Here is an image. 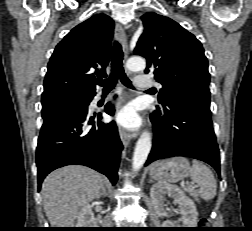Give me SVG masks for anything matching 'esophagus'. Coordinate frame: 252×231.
I'll return each instance as SVG.
<instances>
[{
    "mask_svg": "<svg viewBox=\"0 0 252 231\" xmlns=\"http://www.w3.org/2000/svg\"><path fill=\"white\" fill-rule=\"evenodd\" d=\"M116 30L119 33V36H120V39L122 42V46H123L124 53H125V59H127L129 48H128V40H127L125 30L120 24L116 25ZM128 73L130 75L132 74L131 72H128ZM119 136H120V139H121L123 145L127 146L130 143V141L136 137V133H131V132L125 130L124 128L119 127Z\"/></svg>",
    "mask_w": 252,
    "mask_h": 231,
    "instance_id": "34e87169",
    "label": "esophagus"
}]
</instances>
